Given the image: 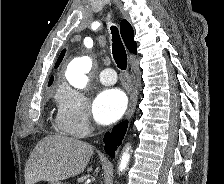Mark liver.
<instances>
[{
    "label": "liver",
    "instance_id": "6515ba94",
    "mask_svg": "<svg viewBox=\"0 0 224 184\" xmlns=\"http://www.w3.org/2000/svg\"><path fill=\"white\" fill-rule=\"evenodd\" d=\"M93 154V146L63 135L41 139L25 166V184L60 181L79 175ZM92 167L87 172H91Z\"/></svg>",
    "mask_w": 224,
    "mask_h": 184
}]
</instances>
